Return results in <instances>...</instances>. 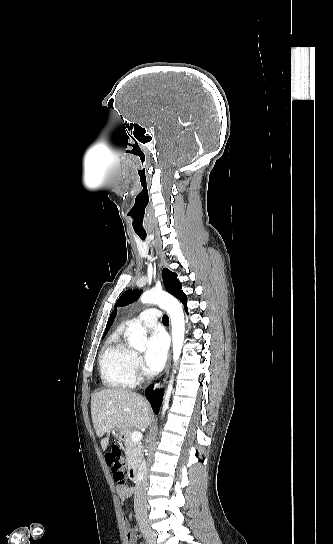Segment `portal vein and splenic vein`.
<instances>
[{
    "instance_id": "18ae733b",
    "label": "portal vein and splenic vein",
    "mask_w": 333,
    "mask_h": 544,
    "mask_svg": "<svg viewBox=\"0 0 333 544\" xmlns=\"http://www.w3.org/2000/svg\"><path fill=\"white\" fill-rule=\"evenodd\" d=\"M143 435L141 432L139 431H135L132 433L131 435V439L134 441V442H140L141 439H142Z\"/></svg>"
}]
</instances>
